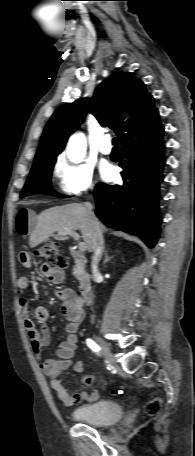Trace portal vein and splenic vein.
<instances>
[{
    "instance_id": "1",
    "label": "portal vein and splenic vein",
    "mask_w": 195,
    "mask_h": 456,
    "mask_svg": "<svg viewBox=\"0 0 195 456\" xmlns=\"http://www.w3.org/2000/svg\"><path fill=\"white\" fill-rule=\"evenodd\" d=\"M65 233L71 235L75 240H79V238H80L78 233H76L75 231H66ZM86 249H87L86 243L80 242L79 251H85Z\"/></svg>"
}]
</instances>
